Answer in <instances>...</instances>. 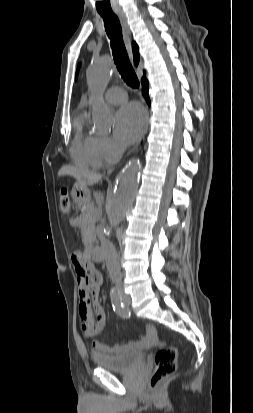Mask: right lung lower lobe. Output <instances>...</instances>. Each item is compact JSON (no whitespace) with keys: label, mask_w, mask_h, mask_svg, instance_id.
Wrapping results in <instances>:
<instances>
[{"label":"right lung lower lobe","mask_w":253,"mask_h":413,"mask_svg":"<svg viewBox=\"0 0 253 413\" xmlns=\"http://www.w3.org/2000/svg\"><path fill=\"white\" fill-rule=\"evenodd\" d=\"M141 83H142L143 96L145 97L147 103L150 104V100H149V96H148L149 83L146 79L145 73H144L143 78L141 79Z\"/></svg>","instance_id":"right-lung-lower-lobe-1"}]
</instances>
